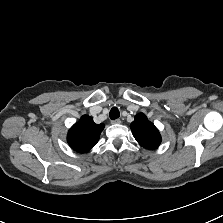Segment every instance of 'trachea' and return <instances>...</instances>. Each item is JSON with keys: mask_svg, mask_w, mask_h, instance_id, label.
<instances>
[{"mask_svg": "<svg viewBox=\"0 0 223 223\" xmlns=\"http://www.w3.org/2000/svg\"><path fill=\"white\" fill-rule=\"evenodd\" d=\"M109 116H110L111 120H115L120 117V112L116 107H113L110 110Z\"/></svg>", "mask_w": 223, "mask_h": 223, "instance_id": "3493384b", "label": "trachea"}]
</instances>
